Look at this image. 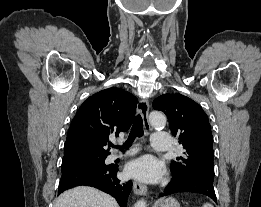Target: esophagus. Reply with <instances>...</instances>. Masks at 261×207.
<instances>
[{
	"label": "esophagus",
	"instance_id": "34e87169",
	"mask_svg": "<svg viewBox=\"0 0 261 207\" xmlns=\"http://www.w3.org/2000/svg\"><path fill=\"white\" fill-rule=\"evenodd\" d=\"M137 112L141 115L146 130L150 129L148 113H149V102L147 99H140L137 104ZM133 190L138 195H147L146 185L135 181L133 183Z\"/></svg>",
	"mask_w": 261,
	"mask_h": 207
}]
</instances>
